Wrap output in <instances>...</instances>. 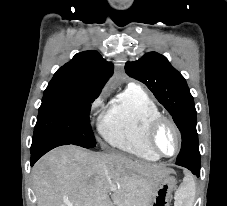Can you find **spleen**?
<instances>
[{
	"mask_svg": "<svg viewBox=\"0 0 227 206\" xmlns=\"http://www.w3.org/2000/svg\"><path fill=\"white\" fill-rule=\"evenodd\" d=\"M195 197L193 181L186 177L184 184L175 193V206H192Z\"/></svg>",
	"mask_w": 227,
	"mask_h": 206,
	"instance_id": "3e777b00",
	"label": "spleen"
}]
</instances>
